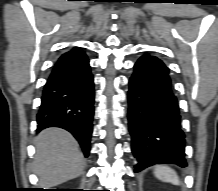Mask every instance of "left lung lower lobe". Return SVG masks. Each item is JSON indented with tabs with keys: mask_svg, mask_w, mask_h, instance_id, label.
<instances>
[{
	"mask_svg": "<svg viewBox=\"0 0 218 191\" xmlns=\"http://www.w3.org/2000/svg\"><path fill=\"white\" fill-rule=\"evenodd\" d=\"M169 68L158 58L143 55L129 80L128 120L135 172L154 164L186 167L185 139Z\"/></svg>",
	"mask_w": 218,
	"mask_h": 191,
	"instance_id": "0a47b994",
	"label": "left lung lower lobe"
}]
</instances>
